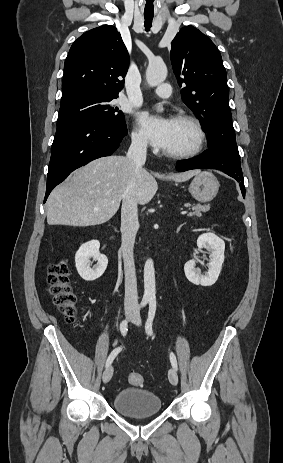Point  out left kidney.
I'll return each instance as SVG.
<instances>
[{
    "label": "left kidney",
    "instance_id": "1",
    "mask_svg": "<svg viewBox=\"0 0 283 463\" xmlns=\"http://www.w3.org/2000/svg\"><path fill=\"white\" fill-rule=\"evenodd\" d=\"M197 246L200 251L205 248L211 252L208 272L202 275L195 268V260H189L184 265L186 278L195 285L212 286L217 281L222 269L225 258V242L213 233H204L198 237Z\"/></svg>",
    "mask_w": 283,
    "mask_h": 463
}]
</instances>
